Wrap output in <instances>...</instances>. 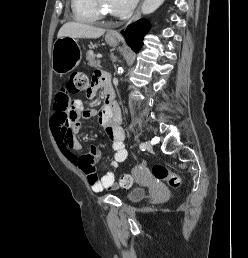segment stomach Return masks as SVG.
<instances>
[{"label":"stomach","instance_id":"0dacf381","mask_svg":"<svg viewBox=\"0 0 248 258\" xmlns=\"http://www.w3.org/2000/svg\"><path fill=\"white\" fill-rule=\"evenodd\" d=\"M106 42L111 46H116L119 42L118 36L107 34ZM82 58V51L75 38H58L52 49V69L59 75L71 72L77 67Z\"/></svg>","mask_w":248,"mask_h":258}]
</instances>
